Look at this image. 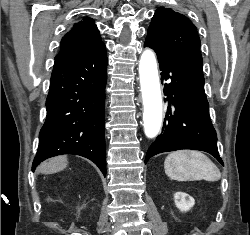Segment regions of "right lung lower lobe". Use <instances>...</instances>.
<instances>
[{
    "instance_id": "right-lung-lower-lobe-1",
    "label": "right lung lower lobe",
    "mask_w": 250,
    "mask_h": 235,
    "mask_svg": "<svg viewBox=\"0 0 250 235\" xmlns=\"http://www.w3.org/2000/svg\"><path fill=\"white\" fill-rule=\"evenodd\" d=\"M106 81L104 43L80 57L54 64L47 118L32 170L47 158L75 154L93 161L106 176Z\"/></svg>"
}]
</instances>
